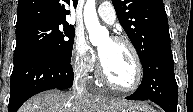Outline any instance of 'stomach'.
<instances>
[{
    "label": "stomach",
    "mask_w": 193,
    "mask_h": 112,
    "mask_svg": "<svg viewBox=\"0 0 193 112\" xmlns=\"http://www.w3.org/2000/svg\"><path fill=\"white\" fill-rule=\"evenodd\" d=\"M114 112H155V110L145 103L133 102L127 106L116 109Z\"/></svg>",
    "instance_id": "1"
}]
</instances>
